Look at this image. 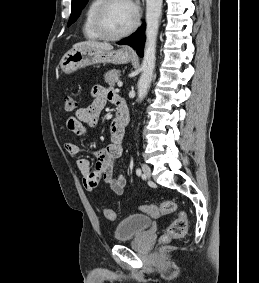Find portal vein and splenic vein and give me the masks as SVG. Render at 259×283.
<instances>
[{
  "instance_id": "obj_1",
  "label": "portal vein and splenic vein",
  "mask_w": 259,
  "mask_h": 283,
  "mask_svg": "<svg viewBox=\"0 0 259 283\" xmlns=\"http://www.w3.org/2000/svg\"><path fill=\"white\" fill-rule=\"evenodd\" d=\"M117 85H118V87H122V85H123L122 81H118Z\"/></svg>"
}]
</instances>
